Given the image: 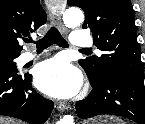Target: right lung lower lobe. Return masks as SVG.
Returning a JSON list of instances; mask_svg holds the SVG:
<instances>
[{"instance_id": "obj_1", "label": "right lung lower lobe", "mask_w": 145, "mask_h": 124, "mask_svg": "<svg viewBox=\"0 0 145 124\" xmlns=\"http://www.w3.org/2000/svg\"><path fill=\"white\" fill-rule=\"evenodd\" d=\"M31 75L18 74L17 67L0 64V115L43 124L49 118L53 102L31 88Z\"/></svg>"}]
</instances>
